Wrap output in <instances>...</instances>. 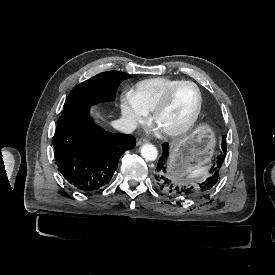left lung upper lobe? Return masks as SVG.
<instances>
[{
	"label": "left lung upper lobe",
	"instance_id": "obj_1",
	"mask_svg": "<svg viewBox=\"0 0 275 275\" xmlns=\"http://www.w3.org/2000/svg\"><path fill=\"white\" fill-rule=\"evenodd\" d=\"M225 146H226V136H223V139H222V149H223V151L225 149Z\"/></svg>",
	"mask_w": 275,
	"mask_h": 275
}]
</instances>
